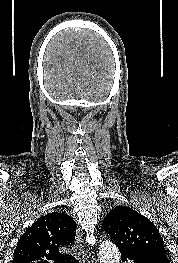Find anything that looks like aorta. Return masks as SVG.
<instances>
[{"mask_svg":"<svg viewBox=\"0 0 178 263\" xmlns=\"http://www.w3.org/2000/svg\"><path fill=\"white\" fill-rule=\"evenodd\" d=\"M100 263H120V252L115 244L106 240L100 245Z\"/></svg>","mask_w":178,"mask_h":263,"instance_id":"1","label":"aorta"}]
</instances>
